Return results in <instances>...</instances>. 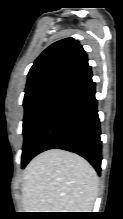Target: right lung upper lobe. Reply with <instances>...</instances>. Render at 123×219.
Wrapping results in <instances>:
<instances>
[{
  "label": "right lung upper lobe",
  "mask_w": 123,
  "mask_h": 219,
  "mask_svg": "<svg viewBox=\"0 0 123 219\" xmlns=\"http://www.w3.org/2000/svg\"><path fill=\"white\" fill-rule=\"evenodd\" d=\"M90 69L87 54L73 38L60 40L36 59L28 73L25 92L54 80H69Z\"/></svg>",
  "instance_id": "obj_1"
}]
</instances>
